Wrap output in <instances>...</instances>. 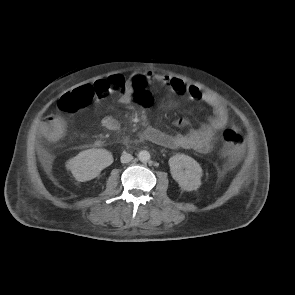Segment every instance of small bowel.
<instances>
[{
    "mask_svg": "<svg viewBox=\"0 0 295 295\" xmlns=\"http://www.w3.org/2000/svg\"><path fill=\"white\" fill-rule=\"evenodd\" d=\"M153 83H160L166 86L171 93L186 96L192 100L207 104L212 110V116L207 123L197 128L191 127L187 120L179 119L177 125L187 127V130L181 133L169 134L154 127H147L141 133V138L167 148H183L200 153H209L214 148L220 131L226 127L228 122V110L224 103L213 95L180 78L165 74H155L151 71L132 74L127 80L125 90L120 93V102L129 104L132 101L134 96L131 90L133 87H143L145 93H149L146 87ZM100 122L109 131L115 132L120 129V122L113 116H104Z\"/></svg>",
    "mask_w": 295,
    "mask_h": 295,
    "instance_id": "obj_1",
    "label": "small bowel"
}]
</instances>
